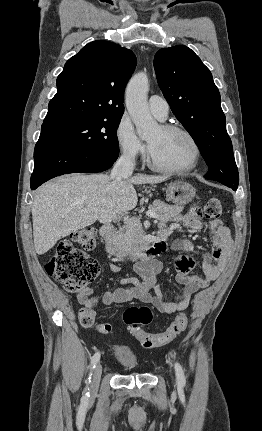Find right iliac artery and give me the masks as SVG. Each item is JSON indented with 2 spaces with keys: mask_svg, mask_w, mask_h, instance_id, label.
I'll return each mask as SVG.
<instances>
[{
  "mask_svg": "<svg viewBox=\"0 0 262 431\" xmlns=\"http://www.w3.org/2000/svg\"><path fill=\"white\" fill-rule=\"evenodd\" d=\"M100 360V353L99 352H97V353H95L94 355H93V357H92V359H91V369H93V368H95V366H96V364H97V362ZM91 374H90V376H89V378H88V382L90 383L91 382ZM89 397V392H86L85 393V395L83 396V399L85 400V399H87Z\"/></svg>",
  "mask_w": 262,
  "mask_h": 431,
  "instance_id": "obj_1",
  "label": "right iliac artery"
}]
</instances>
